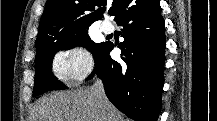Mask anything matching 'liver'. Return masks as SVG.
<instances>
[{"mask_svg":"<svg viewBox=\"0 0 217 121\" xmlns=\"http://www.w3.org/2000/svg\"><path fill=\"white\" fill-rule=\"evenodd\" d=\"M31 121H123L106 99L101 105L91 89L56 92L33 108Z\"/></svg>","mask_w":217,"mask_h":121,"instance_id":"6515ba94","label":"liver"}]
</instances>
